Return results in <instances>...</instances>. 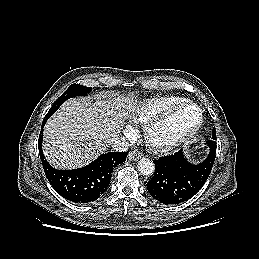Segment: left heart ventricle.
I'll return each mask as SVG.
<instances>
[{
	"instance_id": "left-heart-ventricle-1",
	"label": "left heart ventricle",
	"mask_w": 259,
	"mask_h": 259,
	"mask_svg": "<svg viewBox=\"0 0 259 259\" xmlns=\"http://www.w3.org/2000/svg\"><path fill=\"white\" fill-rule=\"evenodd\" d=\"M198 119V112L194 108H186L178 112L170 122L158 133L160 138H169L185 132L192 127Z\"/></svg>"
}]
</instances>
